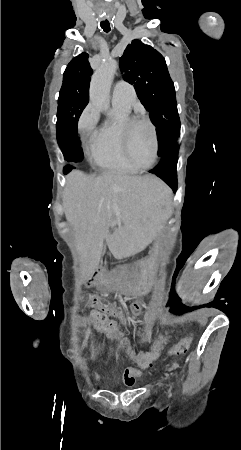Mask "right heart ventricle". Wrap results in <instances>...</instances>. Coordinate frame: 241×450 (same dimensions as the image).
I'll use <instances>...</instances> for the list:
<instances>
[{
	"label": "right heart ventricle",
	"instance_id": "1",
	"mask_svg": "<svg viewBox=\"0 0 241 450\" xmlns=\"http://www.w3.org/2000/svg\"><path fill=\"white\" fill-rule=\"evenodd\" d=\"M115 119L110 123L98 126L97 130H84L82 138L86 152L93 163L101 168L129 169L133 165L126 162L125 153L119 149L121 125L130 116V105L123 102H113ZM86 116H94L88 114ZM132 157V156H131Z\"/></svg>",
	"mask_w": 241,
	"mask_h": 450
}]
</instances>
